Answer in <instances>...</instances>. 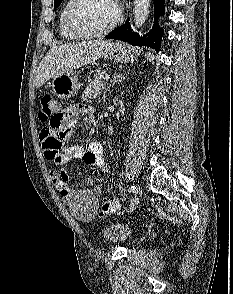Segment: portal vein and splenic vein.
<instances>
[{
    "mask_svg": "<svg viewBox=\"0 0 233 294\" xmlns=\"http://www.w3.org/2000/svg\"><path fill=\"white\" fill-rule=\"evenodd\" d=\"M104 79L108 81L110 79V75H106Z\"/></svg>",
    "mask_w": 233,
    "mask_h": 294,
    "instance_id": "portal-vein-and-splenic-vein-1",
    "label": "portal vein and splenic vein"
}]
</instances>
